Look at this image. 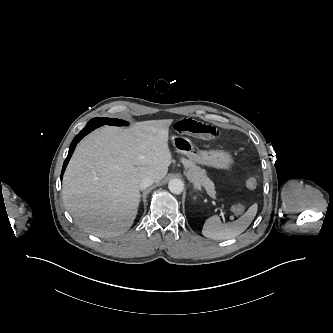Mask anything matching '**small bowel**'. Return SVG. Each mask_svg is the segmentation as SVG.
<instances>
[{
	"label": "small bowel",
	"instance_id": "1",
	"mask_svg": "<svg viewBox=\"0 0 333 333\" xmlns=\"http://www.w3.org/2000/svg\"><path fill=\"white\" fill-rule=\"evenodd\" d=\"M172 128L178 134L202 140L215 139L219 135V130L216 127L192 118L180 119L172 124Z\"/></svg>",
	"mask_w": 333,
	"mask_h": 333
}]
</instances>
